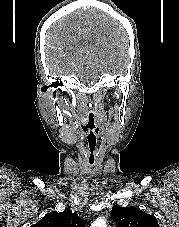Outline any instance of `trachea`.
I'll use <instances>...</instances> for the list:
<instances>
[{
    "instance_id": "trachea-1",
    "label": "trachea",
    "mask_w": 179,
    "mask_h": 227,
    "mask_svg": "<svg viewBox=\"0 0 179 227\" xmlns=\"http://www.w3.org/2000/svg\"><path fill=\"white\" fill-rule=\"evenodd\" d=\"M96 150H89V152H88V158H90L89 160H88V163L92 166L94 163H95V158H96Z\"/></svg>"
}]
</instances>
